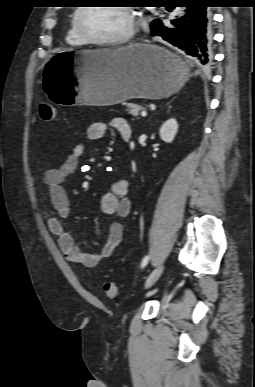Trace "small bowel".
Masks as SVG:
<instances>
[{"instance_id": "small-bowel-1", "label": "small bowel", "mask_w": 255, "mask_h": 387, "mask_svg": "<svg viewBox=\"0 0 255 387\" xmlns=\"http://www.w3.org/2000/svg\"><path fill=\"white\" fill-rule=\"evenodd\" d=\"M110 128L115 129L121 137L123 134L131 136V129L127 121L124 118L115 117L109 122L95 121L90 124L87 137L89 140H99ZM85 148L84 142L77 143L61 165L44 172L43 183L47 187L52 207L59 216L48 220L49 231L57 236L58 246L67 260L91 268L112 256L115 248L122 241L124 228L121 222H113L109 227V235L103 247L98 252H87L76 246L72 234L65 227L63 220L70 218V201L64 183L79 166L85 155ZM129 185L126 179H119L112 184L110 190L101 199V210L104 214L115 215L119 218L129 216L132 208L131 200L127 196Z\"/></svg>"}]
</instances>
